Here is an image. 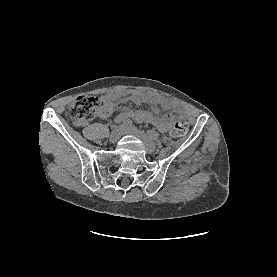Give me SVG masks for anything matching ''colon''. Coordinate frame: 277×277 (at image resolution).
Here are the masks:
<instances>
[{
    "label": "colon",
    "mask_w": 277,
    "mask_h": 277,
    "mask_svg": "<svg viewBox=\"0 0 277 277\" xmlns=\"http://www.w3.org/2000/svg\"><path fill=\"white\" fill-rule=\"evenodd\" d=\"M103 110L99 101L92 96H80L69 106L67 116L75 123L86 122L102 115ZM189 129L188 121L179 119L175 122L172 135L174 137H183Z\"/></svg>",
    "instance_id": "5ec220e1"
}]
</instances>
